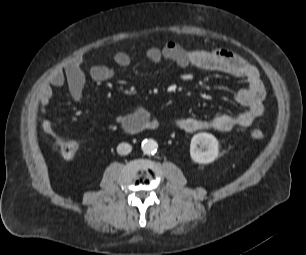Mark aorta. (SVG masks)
Listing matches in <instances>:
<instances>
[{
    "instance_id": "obj_1",
    "label": "aorta",
    "mask_w": 306,
    "mask_h": 255,
    "mask_svg": "<svg viewBox=\"0 0 306 255\" xmlns=\"http://www.w3.org/2000/svg\"><path fill=\"white\" fill-rule=\"evenodd\" d=\"M158 144L153 139H146L142 142L141 149L145 154H153L157 151Z\"/></svg>"
}]
</instances>
